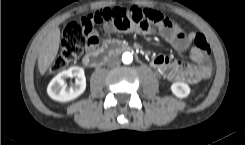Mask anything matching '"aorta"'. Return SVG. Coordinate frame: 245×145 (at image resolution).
Wrapping results in <instances>:
<instances>
[{"instance_id":"aorta-1","label":"aorta","mask_w":245,"mask_h":145,"mask_svg":"<svg viewBox=\"0 0 245 145\" xmlns=\"http://www.w3.org/2000/svg\"><path fill=\"white\" fill-rule=\"evenodd\" d=\"M121 59L124 64H130L133 61V56L130 52H125L122 54Z\"/></svg>"}]
</instances>
